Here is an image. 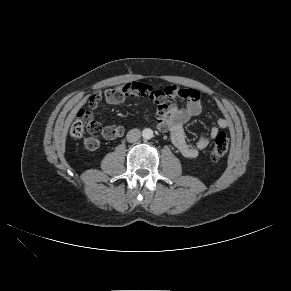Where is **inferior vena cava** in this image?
I'll list each match as a JSON object with an SVG mask.
<instances>
[{"instance_id": "1", "label": "inferior vena cava", "mask_w": 291, "mask_h": 291, "mask_svg": "<svg viewBox=\"0 0 291 291\" xmlns=\"http://www.w3.org/2000/svg\"><path fill=\"white\" fill-rule=\"evenodd\" d=\"M127 141L130 143L136 142L141 138V131L139 129H131L128 133H127Z\"/></svg>"}]
</instances>
